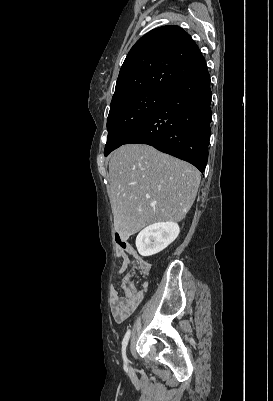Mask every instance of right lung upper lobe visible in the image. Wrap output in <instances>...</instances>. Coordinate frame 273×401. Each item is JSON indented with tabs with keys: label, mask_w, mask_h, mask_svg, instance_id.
<instances>
[{
	"label": "right lung upper lobe",
	"mask_w": 273,
	"mask_h": 401,
	"mask_svg": "<svg viewBox=\"0 0 273 401\" xmlns=\"http://www.w3.org/2000/svg\"><path fill=\"white\" fill-rule=\"evenodd\" d=\"M206 68L198 46L182 28L172 25L153 29L129 51L112 101L142 91L166 93Z\"/></svg>",
	"instance_id": "1"
}]
</instances>
